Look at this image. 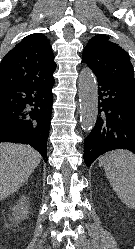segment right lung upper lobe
Segmentation results:
<instances>
[{
  "label": "right lung upper lobe",
  "mask_w": 135,
  "mask_h": 249,
  "mask_svg": "<svg viewBox=\"0 0 135 249\" xmlns=\"http://www.w3.org/2000/svg\"><path fill=\"white\" fill-rule=\"evenodd\" d=\"M55 69L54 55L46 36L41 33L28 35L3 57L0 88L51 80Z\"/></svg>",
  "instance_id": "cb5924a9"
}]
</instances>
